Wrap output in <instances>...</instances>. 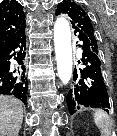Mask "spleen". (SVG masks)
<instances>
[{"label": "spleen", "instance_id": "spleen-1", "mask_svg": "<svg viewBox=\"0 0 117 136\" xmlns=\"http://www.w3.org/2000/svg\"><path fill=\"white\" fill-rule=\"evenodd\" d=\"M95 124L99 127L104 136H108L111 131L109 116L102 110H97L94 113Z\"/></svg>", "mask_w": 117, "mask_h": 136}]
</instances>
